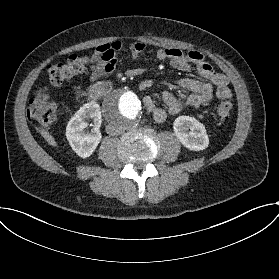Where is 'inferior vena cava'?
Instances as JSON below:
<instances>
[{
	"label": "inferior vena cava",
	"instance_id": "inferior-vena-cava-1",
	"mask_svg": "<svg viewBox=\"0 0 279 279\" xmlns=\"http://www.w3.org/2000/svg\"><path fill=\"white\" fill-rule=\"evenodd\" d=\"M106 132L110 136L120 135L123 132V129L118 125L108 124L106 126Z\"/></svg>",
	"mask_w": 279,
	"mask_h": 279
}]
</instances>
